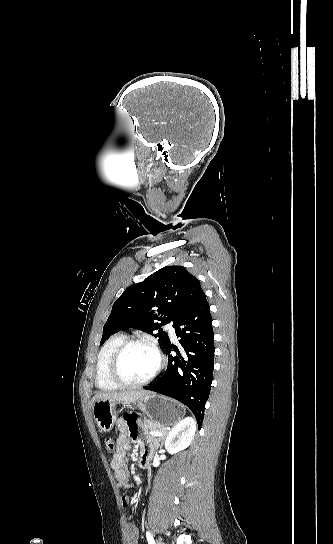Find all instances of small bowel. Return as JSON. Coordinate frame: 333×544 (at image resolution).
<instances>
[{
    "instance_id": "c3829d8e",
    "label": "small bowel",
    "mask_w": 333,
    "mask_h": 544,
    "mask_svg": "<svg viewBox=\"0 0 333 544\" xmlns=\"http://www.w3.org/2000/svg\"><path fill=\"white\" fill-rule=\"evenodd\" d=\"M119 436L117 439L116 450L111 457V465L114 470L115 478L118 486L127 488L130 486L129 472L126 466V456L132 442H136L141 448V452H146L149 456L151 442L147 439H141L138 435V423L136 418H123L118 421ZM122 506L127 508L130 504V499L123 496L121 499ZM127 533L130 544H137L138 531L132 525H127Z\"/></svg>"
}]
</instances>
